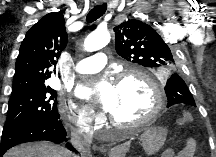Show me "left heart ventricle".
Instances as JSON below:
<instances>
[{
    "instance_id": "1",
    "label": "left heart ventricle",
    "mask_w": 216,
    "mask_h": 157,
    "mask_svg": "<svg viewBox=\"0 0 216 157\" xmlns=\"http://www.w3.org/2000/svg\"><path fill=\"white\" fill-rule=\"evenodd\" d=\"M153 106V95L146 83L128 78L115 86L114 105L110 112L122 122H133L144 118Z\"/></svg>"
}]
</instances>
